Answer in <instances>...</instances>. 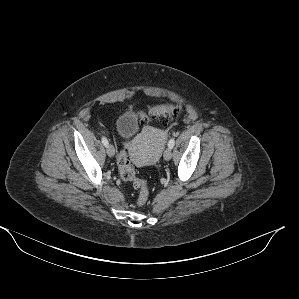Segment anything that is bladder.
<instances>
[{
    "instance_id": "1",
    "label": "bladder",
    "mask_w": 299,
    "mask_h": 299,
    "mask_svg": "<svg viewBox=\"0 0 299 299\" xmlns=\"http://www.w3.org/2000/svg\"><path fill=\"white\" fill-rule=\"evenodd\" d=\"M116 130L122 140L132 139L139 131V121L132 111H124L116 120Z\"/></svg>"
}]
</instances>
